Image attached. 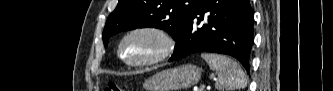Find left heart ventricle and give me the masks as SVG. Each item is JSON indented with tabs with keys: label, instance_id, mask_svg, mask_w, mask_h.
I'll return each mask as SVG.
<instances>
[{
	"label": "left heart ventricle",
	"instance_id": "left-heart-ventricle-1",
	"mask_svg": "<svg viewBox=\"0 0 333 91\" xmlns=\"http://www.w3.org/2000/svg\"><path fill=\"white\" fill-rule=\"evenodd\" d=\"M159 44L151 36L138 34L129 38L123 48L124 56L129 61H139L154 56Z\"/></svg>",
	"mask_w": 333,
	"mask_h": 91
}]
</instances>
